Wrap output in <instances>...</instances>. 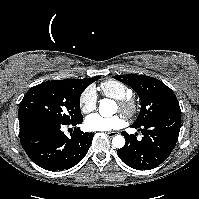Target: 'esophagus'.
I'll list each match as a JSON object with an SVG mask.
<instances>
[{"label": "esophagus", "instance_id": "34e87169", "mask_svg": "<svg viewBox=\"0 0 199 199\" xmlns=\"http://www.w3.org/2000/svg\"><path fill=\"white\" fill-rule=\"evenodd\" d=\"M107 136L112 138L114 137L115 135H117V132H106Z\"/></svg>", "mask_w": 199, "mask_h": 199}]
</instances>
